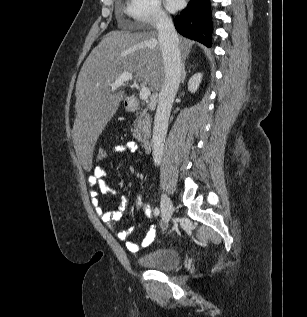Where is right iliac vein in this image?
<instances>
[{
  "label": "right iliac vein",
  "mask_w": 307,
  "mask_h": 317,
  "mask_svg": "<svg viewBox=\"0 0 307 317\" xmlns=\"http://www.w3.org/2000/svg\"><path fill=\"white\" fill-rule=\"evenodd\" d=\"M173 212V205L170 198L164 194L161 199V215L164 223H168Z\"/></svg>",
  "instance_id": "63e3f726"
}]
</instances>
